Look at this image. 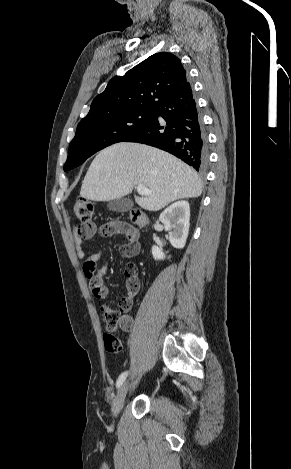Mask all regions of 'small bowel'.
<instances>
[{"label": "small bowel", "mask_w": 291, "mask_h": 469, "mask_svg": "<svg viewBox=\"0 0 291 469\" xmlns=\"http://www.w3.org/2000/svg\"><path fill=\"white\" fill-rule=\"evenodd\" d=\"M96 231L97 226L95 223L90 224L89 231L87 233H82L79 229V226H77L74 229V245L77 257L84 260L83 271L85 276L89 279L92 293L96 298L105 300L108 295V289L104 285L103 278L109 271V264L105 263L100 268H95V263L101 259L103 253L99 252L91 256H87L83 246L84 241L91 238L96 233ZM100 233L103 236H111L115 234L123 235L127 239V244L133 248L132 252L124 255L127 257H132L137 254L139 249L137 242V231L131 226L123 222L111 221L103 224L100 227ZM109 308L111 307L105 303L101 305L102 311Z\"/></svg>", "instance_id": "1"}]
</instances>
